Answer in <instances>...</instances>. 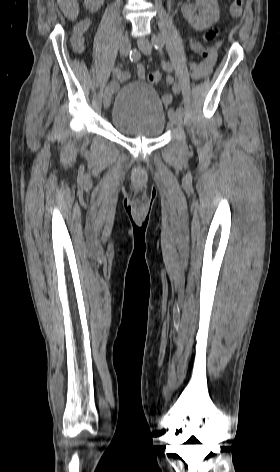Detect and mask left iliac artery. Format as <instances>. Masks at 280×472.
Instances as JSON below:
<instances>
[{"label": "left iliac artery", "mask_w": 280, "mask_h": 472, "mask_svg": "<svg viewBox=\"0 0 280 472\" xmlns=\"http://www.w3.org/2000/svg\"><path fill=\"white\" fill-rule=\"evenodd\" d=\"M152 43L154 44V47L156 49H160L163 47L164 45V42L162 40V38L160 37H157V36H154L152 38ZM163 68L164 70L168 71V72H172L173 71V65L169 62H166L163 64ZM172 91L174 94H179L180 93V86L178 83H173L172 85ZM177 111L180 112L181 114L184 112L183 110V107L182 106H178L177 107Z\"/></svg>", "instance_id": "obj_1"}]
</instances>
